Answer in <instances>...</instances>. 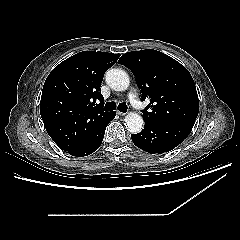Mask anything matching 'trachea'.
Listing matches in <instances>:
<instances>
[{"label": "trachea", "mask_w": 240, "mask_h": 240, "mask_svg": "<svg viewBox=\"0 0 240 240\" xmlns=\"http://www.w3.org/2000/svg\"><path fill=\"white\" fill-rule=\"evenodd\" d=\"M116 107H117L118 110L121 111V112H126V111H127V105H126V103H124V102H123V103H119L118 106H116V103L113 102V101L107 102V103L105 104L104 109H105L106 111H112V110H115Z\"/></svg>", "instance_id": "1"}]
</instances>
